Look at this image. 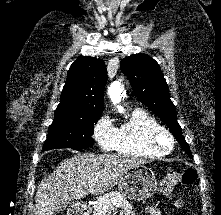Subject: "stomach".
I'll use <instances>...</instances> for the list:
<instances>
[{"label": "stomach", "instance_id": "1", "mask_svg": "<svg viewBox=\"0 0 221 215\" xmlns=\"http://www.w3.org/2000/svg\"><path fill=\"white\" fill-rule=\"evenodd\" d=\"M118 189L129 200H147L153 196L157 189L155 173L151 168L140 164L122 176L119 180Z\"/></svg>", "mask_w": 221, "mask_h": 215}]
</instances>
